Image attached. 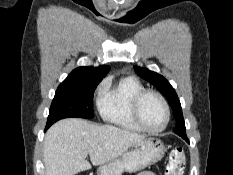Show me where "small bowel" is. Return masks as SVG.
Here are the masks:
<instances>
[{
    "mask_svg": "<svg viewBox=\"0 0 233 175\" xmlns=\"http://www.w3.org/2000/svg\"><path fill=\"white\" fill-rule=\"evenodd\" d=\"M137 175H154V173L149 172V171H144V172H141V173H139Z\"/></svg>",
    "mask_w": 233,
    "mask_h": 175,
    "instance_id": "small-bowel-1",
    "label": "small bowel"
}]
</instances>
